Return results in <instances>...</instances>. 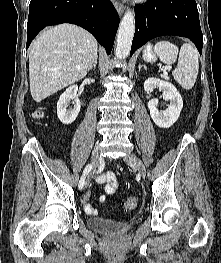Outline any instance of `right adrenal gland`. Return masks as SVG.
I'll list each match as a JSON object with an SVG mask.
<instances>
[{
	"label": "right adrenal gland",
	"instance_id": "obj_1",
	"mask_svg": "<svg viewBox=\"0 0 221 263\" xmlns=\"http://www.w3.org/2000/svg\"><path fill=\"white\" fill-rule=\"evenodd\" d=\"M97 65V59L94 61L93 65L91 66L90 70H95Z\"/></svg>",
	"mask_w": 221,
	"mask_h": 263
}]
</instances>
